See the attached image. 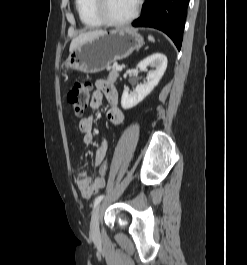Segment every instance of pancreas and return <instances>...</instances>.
Listing matches in <instances>:
<instances>
[{
  "instance_id": "pancreas-1",
  "label": "pancreas",
  "mask_w": 247,
  "mask_h": 265,
  "mask_svg": "<svg viewBox=\"0 0 247 265\" xmlns=\"http://www.w3.org/2000/svg\"><path fill=\"white\" fill-rule=\"evenodd\" d=\"M117 66H113L111 68V71L109 72L108 80L111 82H115L117 78L119 77V72L116 69Z\"/></svg>"
}]
</instances>
